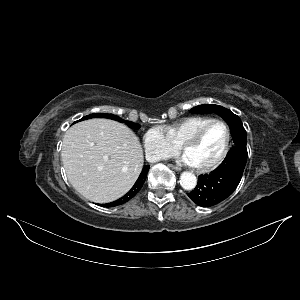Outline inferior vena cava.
Listing matches in <instances>:
<instances>
[{
	"label": "inferior vena cava",
	"instance_id": "602c4592",
	"mask_svg": "<svg viewBox=\"0 0 300 300\" xmlns=\"http://www.w3.org/2000/svg\"><path fill=\"white\" fill-rule=\"evenodd\" d=\"M161 159H164V156L160 153H152V152L146 153V160L149 162H158Z\"/></svg>",
	"mask_w": 300,
	"mask_h": 300
}]
</instances>
